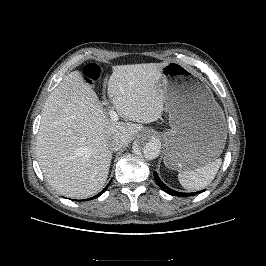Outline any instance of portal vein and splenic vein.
I'll list each match as a JSON object with an SVG mask.
<instances>
[{"mask_svg": "<svg viewBox=\"0 0 266 266\" xmlns=\"http://www.w3.org/2000/svg\"><path fill=\"white\" fill-rule=\"evenodd\" d=\"M104 105L108 106V102L104 101L103 102ZM109 109V114H110V118L112 121H117L118 118V114L116 113V111H114V109L111 106H108Z\"/></svg>", "mask_w": 266, "mask_h": 266, "instance_id": "portal-vein-and-splenic-vein-1", "label": "portal vein and splenic vein"}]
</instances>
